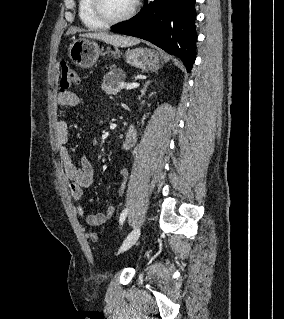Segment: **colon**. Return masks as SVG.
I'll return each instance as SVG.
<instances>
[{
  "label": "colon",
  "mask_w": 284,
  "mask_h": 319,
  "mask_svg": "<svg viewBox=\"0 0 284 319\" xmlns=\"http://www.w3.org/2000/svg\"><path fill=\"white\" fill-rule=\"evenodd\" d=\"M79 83V77L75 70L70 68L65 62L61 63V79L60 91L62 93L68 92L73 86ZM93 242H98V235L94 232L90 234Z\"/></svg>",
  "instance_id": "1"
}]
</instances>
